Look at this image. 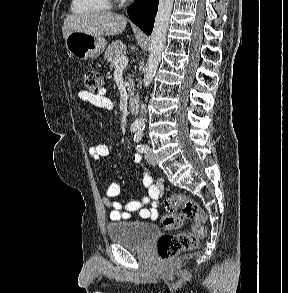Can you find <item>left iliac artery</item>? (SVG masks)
Wrapping results in <instances>:
<instances>
[{
    "label": "left iliac artery",
    "instance_id": "obj_1",
    "mask_svg": "<svg viewBox=\"0 0 288 293\" xmlns=\"http://www.w3.org/2000/svg\"><path fill=\"white\" fill-rule=\"evenodd\" d=\"M142 137H143V132H142V130H139V131H138L137 133H135V135H134V142H135V143H139V142L141 141ZM136 148H137V150H138L139 152L143 153V152H146V151L148 150L149 147H148L146 144H138V145L136 146Z\"/></svg>",
    "mask_w": 288,
    "mask_h": 293
}]
</instances>
